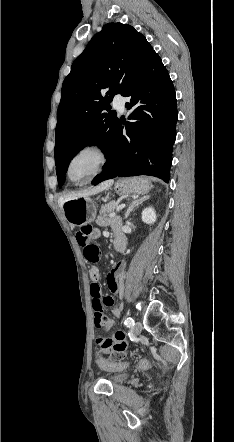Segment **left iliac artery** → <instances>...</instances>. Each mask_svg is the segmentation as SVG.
<instances>
[{"label":"left iliac artery","mask_w":234,"mask_h":442,"mask_svg":"<svg viewBox=\"0 0 234 442\" xmlns=\"http://www.w3.org/2000/svg\"><path fill=\"white\" fill-rule=\"evenodd\" d=\"M124 324H125L127 327H132V326H134V320H133V318H131V317L126 318Z\"/></svg>","instance_id":"left-iliac-artery-1"}]
</instances>
